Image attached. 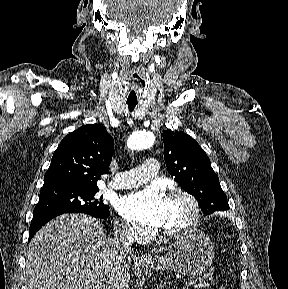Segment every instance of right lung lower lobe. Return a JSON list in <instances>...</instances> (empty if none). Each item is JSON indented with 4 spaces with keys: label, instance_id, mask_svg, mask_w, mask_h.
Instances as JSON below:
<instances>
[{
    "label": "right lung lower lobe",
    "instance_id": "right-lung-lower-lobe-1",
    "mask_svg": "<svg viewBox=\"0 0 288 289\" xmlns=\"http://www.w3.org/2000/svg\"><path fill=\"white\" fill-rule=\"evenodd\" d=\"M63 213H39V214H34L32 223L30 225L29 229V241L31 238L34 236V234L44 225L46 224L49 220L52 218L61 215ZM110 215V212H107L106 214L101 215L99 218H107Z\"/></svg>",
    "mask_w": 288,
    "mask_h": 289
}]
</instances>
